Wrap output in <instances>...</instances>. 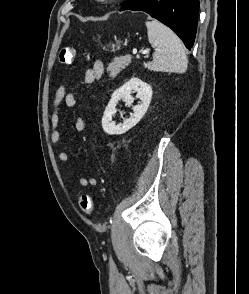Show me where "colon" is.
Instances as JSON below:
<instances>
[{
  "label": "colon",
  "mask_w": 249,
  "mask_h": 294,
  "mask_svg": "<svg viewBox=\"0 0 249 294\" xmlns=\"http://www.w3.org/2000/svg\"><path fill=\"white\" fill-rule=\"evenodd\" d=\"M76 49L72 46H64L59 53V60L62 64L71 65L75 60ZM79 207L81 211L90 215L93 211V199L88 194H82L79 198Z\"/></svg>",
  "instance_id": "obj_1"
}]
</instances>
